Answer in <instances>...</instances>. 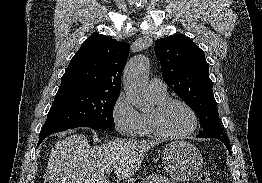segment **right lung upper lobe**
Listing matches in <instances>:
<instances>
[{"label":"right lung upper lobe","mask_w":262,"mask_h":183,"mask_svg":"<svg viewBox=\"0 0 262 183\" xmlns=\"http://www.w3.org/2000/svg\"><path fill=\"white\" fill-rule=\"evenodd\" d=\"M130 45L101 34L86 39L72 57L57 93L98 90L120 93Z\"/></svg>","instance_id":"right-lung-upper-lobe-1"}]
</instances>
